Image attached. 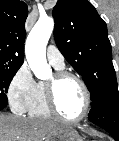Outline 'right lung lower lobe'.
I'll return each instance as SVG.
<instances>
[{
	"label": "right lung lower lobe",
	"instance_id": "98d812e1",
	"mask_svg": "<svg viewBox=\"0 0 119 141\" xmlns=\"http://www.w3.org/2000/svg\"><path fill=\"white\" fill-rule=\"evenodd\" d=\"M4 107L0 106V110H2Z\"/></svg>",
	"mask_w": 119,
	"mask_h": 141
}]
</instances>
